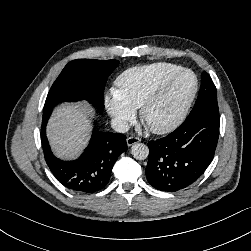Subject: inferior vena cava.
Instances as JSON below:
<instances>
[{"instance_id": "inferior-vena-cava-1", "label": "inferior vena cava", "mask_w": 251, "mask_h": 251, "mask_svg": "<svg viewBox=\"0 0 251 251\" xmlns=\"http://www.w3.org/2000/svg\"><path fill=\"white\" fill-rule=\"evenodd\" d=\"M111 127L119 133H126L129 130V124L127 121L120 118H113L111 120Z\"/></svg>"}]
</instances>
